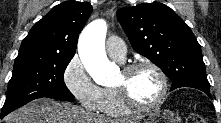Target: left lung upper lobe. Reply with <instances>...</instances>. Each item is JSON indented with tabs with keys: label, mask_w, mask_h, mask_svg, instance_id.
Returning a JSON list of instances; mask_svg holds the SVG:
<instances>
[{
	"label": "left lung upper lobe",
	"mask_w": 221,
	"mask_h": 123,
	"mask_svg": "<svg viewBox=\"0 0 221 123\" xmlns=\"http://www.w3.org/2000/svg\"><path fill=\"white\" fill-rule=\"evenodd\" d=\"M117 18L133 49L169 77L171 90H210L200 44L171 8L157 2L142 3L119 9Z\"/></svg>",
	"instance_id": "left-lung-upper-lobe-1"
}]
</instances>
